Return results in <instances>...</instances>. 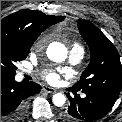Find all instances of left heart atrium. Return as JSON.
I'll use <instances>...</instances> for the list:
<instances>
[{
    "instance_id": "39dd6f15",
    "label": "left heart atrium",
    "mask_w": 122,
    "mask_h": 122,
    "mask_svg": "<svg viewBox=\"0 0 122 122\" xmlns=\"http://www.w3.org/2000/svg\"><path fill=\"white\" fill-rule=\"evenodd\" d=\"M45 79L52 85H57L60 82V75L54 71H47L45 73Z\"/></svg>"
}]
</instances>
